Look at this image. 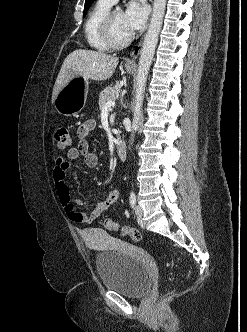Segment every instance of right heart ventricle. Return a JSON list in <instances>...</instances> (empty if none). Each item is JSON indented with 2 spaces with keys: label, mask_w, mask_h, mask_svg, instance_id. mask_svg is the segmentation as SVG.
<instances>
[{
  "label": "right heart ventricle",
  "mask_w": 247,
  "mask_h": 332,
  "mask_svg": "<svg viewBox=\"0 0 247 332\" xmlns=\"http://www.w3.org/2000/svg\"><path fill=\"white\" fill-rule=\"evenodd\" d=\"M111 6L112 4L106 0H98L89 12L84 24V34L88 46L99 52L110 50V47L101 38L100 24Z\"/></svg>",
  "instance_id": "e07e8e85"
}]
</instances>
